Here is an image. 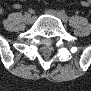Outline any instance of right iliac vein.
<instances>
[{
    "label": "right iliac vein",
    "mask_w": 91,
    "mask_h": 91,
    "mask_svg": "<svg viewBox=\"0 0 91 91\" xmlns=\"http://www.w3.org/2000/svg\"><path fill=\"white\" fill-rule=\"evenodd\" d=\"M25 21H26V23H28V24H32V23H34L35 18H34L33 16L27 14V15H25Z\"/></svg>",
    "instance_id": "63e3f726"
}]
</instances>
